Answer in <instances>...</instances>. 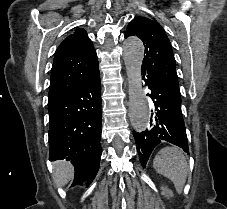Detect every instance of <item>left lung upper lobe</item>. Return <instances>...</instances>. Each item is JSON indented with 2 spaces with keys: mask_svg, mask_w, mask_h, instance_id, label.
Returning <instances> with one entry per match:
<instances>
[{
  "mask_svg": "<svg viewBox=\"0 0 227 209\" xmlns=\"http://www.w3.org/2000/svg\"><path fill=\"white\" fill-rule=\"evenodd\" d=\"M137 36L145 47L142 74L159 86L181 96L171 43L164 29L146 17H135L128 25L125 38Z\"/></svg>",
  "mask_w": 227,
  "mask_h": 209,
  "instance_id": "5c2ea615",
  "label": "left lung upper lobe"
}]
</instances>
